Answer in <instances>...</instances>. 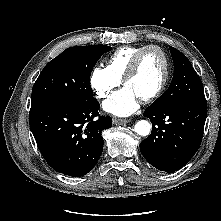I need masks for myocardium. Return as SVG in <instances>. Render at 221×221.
Wrapping results in <instances>:
<instances>
[{
	"label": "myocardium",
	"instance_id": "obj_1",
	"mask_svg": "<svg viewBox=\"0 0 221 221\" xmlns=\"http://www.w3.org/2000/svg\"><path fill=\"white\" fill-rule=\"evenodd\" d=\"M151 50L158 51L163 58V63H164L163 75H162V78H161L160 83L158 84L157 88L148 96L140 99V101L142 103H149V102L155 100L156 98H158L162 94V92L164 91V89L166 87V84L169 79V74H170L169 59H168L166 52L161 47H159L157 45H148V46L142 48L140 51H138L134 55L128 69L126 70V72L122 78V83L125 85L126 82L131 77H133L134 74L137 72V70L139 68L140 61H141L142 57L144 56V54H146L148 51H151Z\"/></svg>",
	"mask_w": 221,
	"mask_h": 221
}]
</instances>
